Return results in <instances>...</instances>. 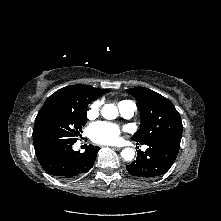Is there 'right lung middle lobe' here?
Returning <instances> with one entry per match:
<instances>
[{"label": "right lung middle lobe", "mask_w": 221, "mask_h": 221, "mask_svg": "<svg viewBox=\"0 0 221 221\" xmlns=\"http://www.w3.org/2000/svg\"><path fill=\"white\" fill-rule=\"evenodd\" d=\"M88 102L69 104L59 96H50L40 109L33 129L35 151L53 144H72L86 124Z\"/></svg>", "instance_id": "right-lung-middle-lobe-1"}]
</instances>
